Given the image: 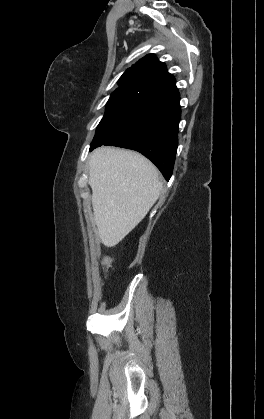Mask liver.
<instances>
[{"label": "liver", "instance_id": "1", "mask_svg": "<svg viewBox=\"0 0 264 419\" xmlns=\"http://www.w3.org/2000/svg\"><path fill=\"white\" fill-rule=\"evenodd\" d=\"M94 222L100 241L114 247L146 216L159 198L158 169L141 154L100 147L90 156Z\"/></svg>", "mask_w": 264, "mask_h": 419}]
</instances>
